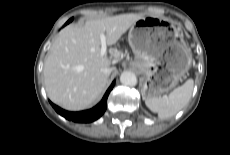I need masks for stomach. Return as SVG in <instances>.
I'll use <instances>...</instances> for the list:
<instances>
[{
    "label": "stomach",
    "mask_w": 230,
    "mask_h": 155,
    "mask_svg": "<svg viewBox=\"0 0 230 155\" xmlns=\"http://www.w3.org/2000/svg\"><path fill=\"white\" fill-rule=\"evenodd\" d=\"M128 41L135 54L134 65L144 76V99L160 97L174 88L191 66L190 48L168 19L147 16L136 21Z\"/></svg>",
    "instance_id": "1"
}]
</instances>
